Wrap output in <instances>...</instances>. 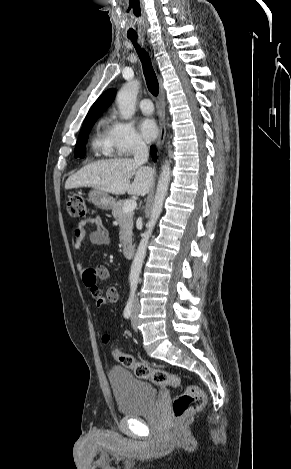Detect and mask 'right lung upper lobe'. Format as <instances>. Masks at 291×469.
<instances>
[{
    "label": "right lung upper lobe",
    "mask_w": 291,
    "mask_h": 469,
    "mask_svg": "<svg viewBox=\"0 0 291 469\" xmlns=\"http://www.w3.org/2000/svg\"><path fill=\"white\" fill-rule=\"evenodd\" d=\"M115 98V90L114 89H108L105 91L92 105L90 108L87 116V118H98L101 113L107 109L111 105Z\"/></svg>",
    "instance_id": "obj_1"
}]
</instances>
